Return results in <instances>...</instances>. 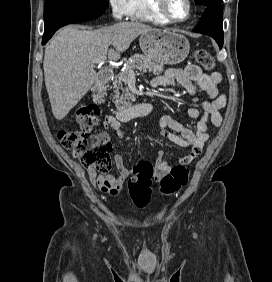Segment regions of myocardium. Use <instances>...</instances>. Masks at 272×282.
Segmentation results:
<instances>
[{
    "label": "myocardium",
    "mask_w": 272,
    "mask_h": 282,
    "mask_svg": "<svg viewBox=\"0 0 272 282\" xmlns=\"http://www.w3.org/2000/svg\"><path fill=\"white\" fill-rule=\"evenodd\" d=\"M155 7L156 9L168 20L172 21V22H183L185 20H187L192 13V2L191 0H185L186 6H187V13L185 15V17L183 18H177L174 17L168 10L167 7V1L166 0H155Z\"/></svg>",
    "instance_id": "f54148a6"
}]
</instances>
